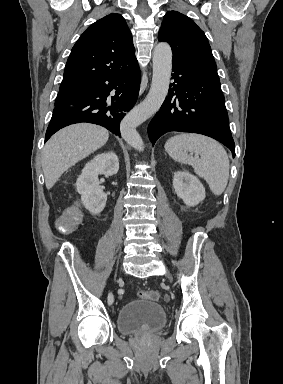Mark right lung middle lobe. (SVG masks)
<instances>
[{"instance_id": "dd1d6c3e", "label": "right lung middle lobe", "mask_w": 283, "mask_h": 384, "mask_svg": "<svg viewBox=\"0 0 283 384\" xmlns=\"http://www.w3.org/2000/svg\"><path fill=\"white\" fill-rule=\"evenodd\" d=\"M75 93L76 91H59L55 100V106H58L60 104H63L69 101L74 97Z\"/></svg>"}]
</instances>
